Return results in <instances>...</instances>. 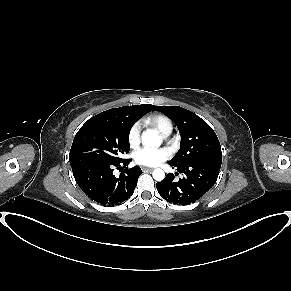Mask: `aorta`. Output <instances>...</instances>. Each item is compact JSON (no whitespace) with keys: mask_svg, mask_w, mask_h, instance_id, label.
Masks as SVG:
<instances>
[{"mask_svg":"<svg viewBox=\"0 0 291 291\" xmlns=\"http://www.w3.org/2000/svg\"><path fill=\"white\" fill-rule=\"evenodd\" d=\"M142 143L147 146H160L162 139L155 130H147L142 134ZM153 178L156 181H162L165 178V173L162 169H155L153 171Z\"/></svg>","mask_w":291,"mask_h":291,"instance_id":"762f6f07","label":"aorta"}]
</instances>
